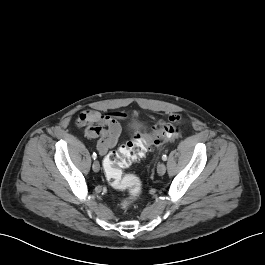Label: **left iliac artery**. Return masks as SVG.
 Wrapping results in <instances>:
<instances>
[{
  "label": "left iliac artery",
  "mask_w": 265,
  "mask_h": 265,
  "mask_svg": "<svg viewBox=\"0 0 265 265\" xmlns=\"http://www.w3.org/2000/svg\"><path fill=\"white\" fill-rule=\"evenodd\" d=\"M162 160H163V161H166V160H167V156H166V155H163V156H162Z\"/></svg>",
  "instance_id": "44dca946"
}]
</instances>
